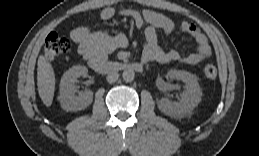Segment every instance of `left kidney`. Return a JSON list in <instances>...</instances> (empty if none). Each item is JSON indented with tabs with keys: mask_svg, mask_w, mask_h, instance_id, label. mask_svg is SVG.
I'll use <instances>...</instances> for the list:
<instances>
[{
	"mask_svg": "<svg viewBox=\"0 0 259 156\" xmlns=\"http://www.w3.org/2000/svg\"><path fill=\"white\" fill-rule=\"evenodd\" d=\"M171 79L182 80L186 90L179 102H172L162 98L158 102V108L170 116H181L191 112L201 101L202 90L198 84L197 77L187 71L171 70L168 72Z\"/></svg>",
	"mask_w": 259,
	"mask_h": 156,
	"instance_id": "left-kidney-1",
	"label": "left kidney"
}]
</instances>
